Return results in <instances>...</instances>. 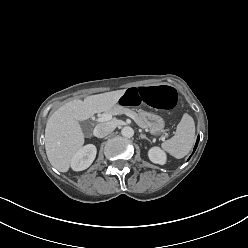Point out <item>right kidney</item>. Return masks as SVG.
Instances as JSON below:
<instances>
[{
    "mask_svg": "<svg viewBox=\"0 0 248 248\" xmlns=\"http://www.w3.org/2000/svg\"><path fill=\"white\" fill-rule=\"evenodd\" d=\"M97 149L94 145L89 144L79 149L71 159V168L74 171L87 169L96 157Z\"/></svg>",
    "mask_w": 248,
    "mask_h": 248,
    "instance_id": "right-kidney-1",
    "label": "right kidney"
}]
</instances>
